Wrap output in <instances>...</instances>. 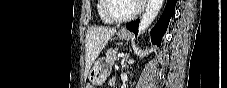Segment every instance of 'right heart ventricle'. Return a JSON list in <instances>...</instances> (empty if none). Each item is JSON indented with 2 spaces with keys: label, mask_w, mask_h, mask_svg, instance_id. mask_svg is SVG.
I'll list each match as a JSON object with an SVG mask.
<instances>
[{
  "label": "right heart ventricle",
  "mask_w": 227,
  "mask_h": 88,
  "mask_svg": "<svg viewBox=\"0 0 227 88\" xmlns=\"http://www.w3.org/2000/svg\"><path fill=\"white\" fill-rule=\"evenodd\" d=\"M102 8H103V0H98V12H99L100 19L105 23H110L108 19L104 16L102 12Z\"/></svg>",
  "instance_id": "right-heart-ventricle-1"
}]
</instances>
